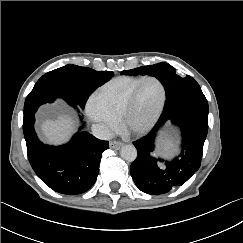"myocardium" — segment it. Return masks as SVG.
<instances>
[{
    "instance_id": "obj_1",
    "label": "myocardium",
    "mask_w": 243,
    "mask_h": 243,
    "mask_svg": "<svg viewBox=\"0 0 243 243\" xmlns=\"http://www.w3.org/2000/svg\"><path fill=\"white\" fill-rule=\"evenodd\" d=\"M148 81H155L161 88L162 95H161L159 105L157 106L153 114L142 125L136 127L130 126L128 122L130 111L135 103V100L137 98V95L141 87ZM166 100H167V92L163 82L154 76L145 77L137 84V86L133 89V91L130 93L127 100L125 101L119 116L121 125L134 134H144L148 132L153 128V126L157 123L158 119L160 118L164 110Z\"/></svg>"
}]
</instances>
